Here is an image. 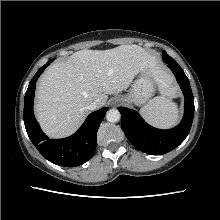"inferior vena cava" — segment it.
I'll return each instance as SVG.
<instances>
[{
  "instance_id": "inferior-vena-cava-1",
  "label": "inferior vena cava",
  "mask_w": 220,
  "mask_h": 220,
  "mask_svg": "<svg viewBox=\"0 0 220 220\" xmlns=\"http://www.w3.org/2000/svg\"><path fill=\"white\" fill-rule=\"evenodd\" d=\"M97 108H99V105L97 102H92L87 106V109L89 110H96Z\"/></svg>"
}]
</instances>
